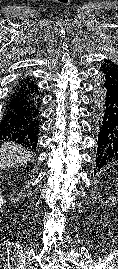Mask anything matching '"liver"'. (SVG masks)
<instances>
[{
  "label": "liver",
  "instance_id": "liver-1",
  "mask_svg": "<svg viewBox=\"0 0 118 269\" xmlns=\"http://www.w3.org/2000/svg\"><path fill=\"white\" fill-rule=\"evenodd\" d=\"M29 160V152L19 144L4 143L0 147V167L5 170L24 166Z\"/></svg>",
  "mask_w": 118,
  "mask_h": 269
}]
</instances>
